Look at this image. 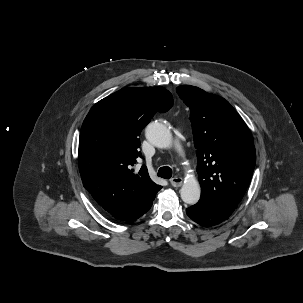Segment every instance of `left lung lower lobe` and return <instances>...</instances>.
<instances>
[{"label":"left lung lower lobe","mask_w":303,"mask_h":303,"mask_svg":"<svg viewBox=\"0 0 303 303\" xmlns=\"http://www.w3.org/2000/svg\"><path fill=\"white\" fill-rule=\"evenodd\" d=\"M186 213L194 222L204 227L217 225L231 215L221 207L207 201H199L196 205L187 208Z\"/></svg>","instance_id":"1"}]
</instances>
